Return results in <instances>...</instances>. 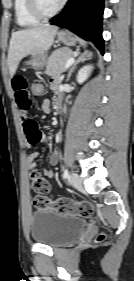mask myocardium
Listing matches in <instances>:
<instances>
[{"mask_svg": "<svg viewBox=\"0 0 134 281\" xmlns=\"http://www.w3.org/2000/svg\"><path fill=\"white\" fill-rule=\"evenodd\" d=\"M66 0H61L57 7L51 11L45 10L40 0H27V5L30 12L40 19H47L57 15L64 7Z\"/></svg>", "mask_w": 134, "mask_h": 281, "instance_id": "myocardium-1", "label": "myocardium"}]
</instances>
